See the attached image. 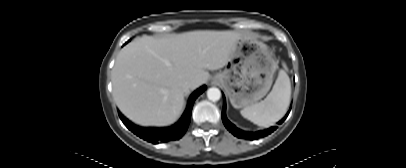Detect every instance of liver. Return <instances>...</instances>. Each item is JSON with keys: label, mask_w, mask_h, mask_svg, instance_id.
<instances>
[{"label": "liver", "mask_w": 406, "mask_h": 168, "mask_svg": "<svg viewBox=\"0 0 406 168\" xmlns=\"http://www.w3.org/2000/svg\"><path fill=\"white\" fill-rule=\"evenodd\" d=\"M235 31H190L164 38L142 36L119 52L112 69L113 97L120 111L143 126L174 123L185 95L223 68L243 37ZM187 81L193 87L185 92Z\"/></svg>", "instance_id": "6515ba94"}]
</instances>
